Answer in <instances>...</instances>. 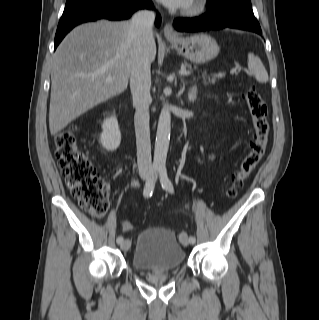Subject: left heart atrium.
<instances>
[{
    "instance_id": "39dd6f15",
    "label": "left heart atrium",
    "mask_w": 319,
    "mask_h": 320,
    "mask_svg": "<svg viewBox=\"0 0 319 320\" xmlns=\"http://www.w3.org/2000/svg\"><path fill=\"white\" fill-rule=\"evenodd\" d=\"M162 2L165 6L172 9H180L187 7L192 0H158Z\"/></svg>"
}]
</instances>
